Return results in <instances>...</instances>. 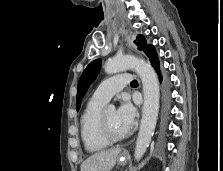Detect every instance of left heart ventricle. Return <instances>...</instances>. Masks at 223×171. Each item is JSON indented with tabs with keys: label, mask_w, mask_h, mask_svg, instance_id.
Segmentation results:
<instances>
[{
	"label": "left heart ventricle",
	"mask_w": 223,
	"mask_h": 171,
	"mask_svg": "<svg viewBox=\"0 0 223 171\" xmlns=\"http://www.w3.org/2000/svg\"><path fill=\"white\" fill-rule=\"evenodd\" d=\"M105 117L108 128L114 136H122L126 134V131L121 127V125L117 121L115 110L105 111Z\"/></svg>",
	"instance_id": "left-heart-ventricle-1"
}]
</instances>
